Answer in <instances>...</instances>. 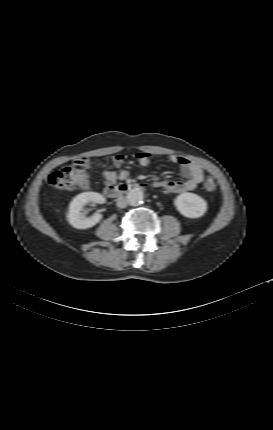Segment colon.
Returning <instances> with one entry per match:
<instances>
[{"mask_svg": "<svg viewBox=\"0 0 273 430\" xmlns=\"http://www.w3.org/2000/svg\"><path fill=\"white\" fill-rule=\"evenodd\" d=\"M80 159L69 166L54 171L48 178L50 186L56 190L85 188L89 183L88 165H81ZM216 188L215 180L208 177L204 183V189L207 192H213Z\"/></svg>", "mask_w": 273, "mask_h": 430, "instance_id": "obj_1", "label": "colon"}]
</instances>
